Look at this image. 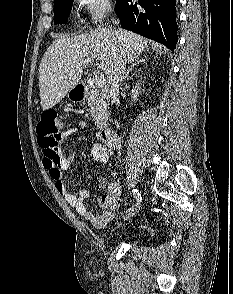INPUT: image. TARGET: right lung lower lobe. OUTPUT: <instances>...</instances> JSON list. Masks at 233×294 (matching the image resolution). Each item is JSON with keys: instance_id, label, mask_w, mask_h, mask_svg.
<instances>
[{"instance_id": "98d812e1", "label": "right lung lower lobe", "mask_w": 233, "mask_h": 294, "mask_svg": "<svg viewBox=\"0 0 233 294\" xmlns=\"http://www.w3.org/2000/svg\"><path fill=\"white\" fill-rule=\"evenodd\" d=\"M176 0H117L122 28L157 41L172 51L177 43Z\"/></svg>"}]
</instances>
